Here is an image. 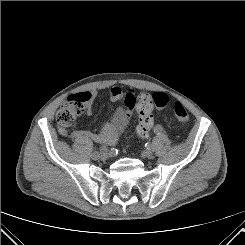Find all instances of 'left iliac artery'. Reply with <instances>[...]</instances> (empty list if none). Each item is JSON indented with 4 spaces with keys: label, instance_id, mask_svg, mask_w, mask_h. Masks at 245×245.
Segmentation results:
<instances>
[{
    "label": "left iliac artery",
    "instance_id": "44dca946",
    "mask_svg": "<svg viewBox=\"0 0 245 245\" xmlns=\"http://www.w3.org/2000/svg\"><path fill=\"white\" fill-rule=\"evenodd\" d=\"M154 130H155V132H156V133H158V134H159V133H161V132H162V130H163V129H162V127H161V126H159V125H158V126H156V127H155V129H154Z\"/></svg>",
    "mask_w": 245,
    "mask_h": 245
}]
</instances>
